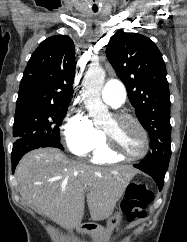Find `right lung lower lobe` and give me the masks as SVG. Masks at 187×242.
<instances>
[{"instance_id":"1","label":"right lung lower lobe","mask_w":187,"mask_h":242,"mask_svg":"<svg viewBox=\"0 0 187 242\" xmlns=\"http://www.w3.org/2000/svg\"><path fill=\"white\" fill-rule=\"evenodd\" d=\"M40 147H55L64 150L62 144L58 141L41 140L35 138H18L13 144L11 153L12 172L14 173L19 160L24 154Z\"/></svg>"}]
</instances>
